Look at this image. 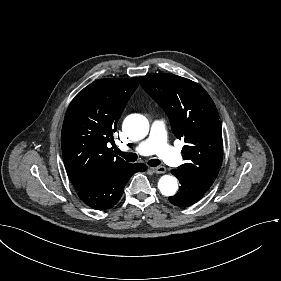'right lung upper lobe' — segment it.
Instances as JSON below:
<instances>
[{
  "label": "right lung upper lobe",
  "instance_id": "right-lung-upper-lobe-1",
  "mask_svg": "<svg viewBox=\"0 0 281 281\" xmlns=\"http://www.w3.org/2000/svg\"><path fill=\"white\" fill-rule=\"evenodd\" d=\"M138 78L99 79L70 103L61 146L69 179L77 191L90 188L132 164L112 153L113 133Z\"/></svg>",
  "mask_w": 281,
  "mask_h": 281
}]
</instances>
